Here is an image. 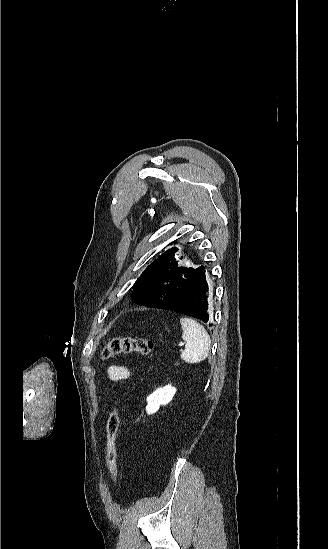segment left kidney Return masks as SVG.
I'll list each match as a JSON object with an SVG mask.
<instances>
[{
    "label": "left kidney",
    "instance_id": "5707ae66",
    "mask_svg": "<svg viewBox=\"0 0 328 549\" xmlns=\"http://www.w3.org/2000/svg\"><path fill=\"white\" fill-rule=\"evenodd\" d=\"M176 393L175 387H172V385H166V387H162V389H157V391H154L152 395H149L147 397V407H146V413L148 415H152V413H156L158 411L160 405H168L170 401H172L174 395Z\"/></svg>",
    "mask_w": 328,
    "mask_h": 549
}]
</instances>
